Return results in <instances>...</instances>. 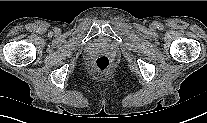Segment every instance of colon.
<instances>
[{"label": "colon", "instance_id": "1", "mask_svg": "<svg viewBox=\"0 0 207 123\" xmlns=\"http://www.w3.org/2000/svg\"><path fill=\"white\" fill-rule=\"evenodd\" d=\"M93 66L100 72H106L111 68V61L106 56H100L94 61Z\"/></svg>", "mask_w": 207, "mask_h": 123}]
</instances>
